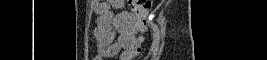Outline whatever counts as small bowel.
Masks as SVG:
<instances>
[{
    "label": "small bowel",
    "mask_w": 267,
    "mask_h": 60,
    "mask_svg": "<svg viewBox=\"0 0 267 60\" xmlns=\"http://www.w3.org/2000/svg\"><path fill=\"white\" fill-rule=\"evenodd\" d=\"M98 15L94 36L97 40L95 60L118 57L120 60L133 59L141 49L140 26L134 16L124 10L123 0L94 1ZM111 9L120 11L114 14Z\"/></svg>",
    "instance_id": "small-bowel-1"
}]
</instances>
